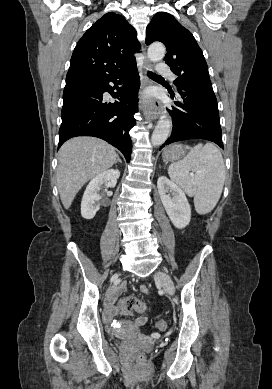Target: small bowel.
I'll return each instance as SVG.
<instances>
[{
  "label": "small bowel",
  "instance_id": "obj_1",
  "mask_svg": "<svg viewBox=\"0 0 272 389\" xmlns=\"http://www.w3.org/2000/svg\"><path fill=\"white\" fill-rule=\"evenodd\" d=\"M123 289H124L123 287H120V288L115 289V290L112 292V294L109 296V298L107 299V301H106V307H107V310H108V313H109V314H112V313L117 312V309L113 308V307H112V304H113L115 298L123 291ZM141 290H142L143 292H146V291H147V289H146L145 286H142V287H141ZM144 322H145V318H139V319L136 321L137 324H143Z\"/></svg>",
  "mask_w": 272,
  "mask_h": 389
}]
</instances>
